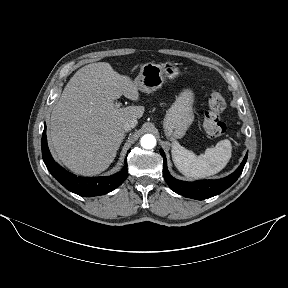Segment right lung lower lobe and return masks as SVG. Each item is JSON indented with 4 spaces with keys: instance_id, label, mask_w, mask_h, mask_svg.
Segmentation results:
<instances>
[{
    "instance_id": "98d812e1",
    "label": "right lung lower lobe",
    "mask_w": 288,
    "mask_h": 288,
    "mask_svg": "<svg viewBox=\"0 0 288 288\" xmlns=\"http://www.w3.org/2000/svg\"><path fill=\"white\" fill-rule=\"evenodd\" d=\"M43 161L52 174L66 189L82 197H92L106 194L120 186L128 176L127 161L123 169L107 177H78L57 164L51 156L47 145L46 125L41 139Z\"/></svg>"
}]
</instances>
